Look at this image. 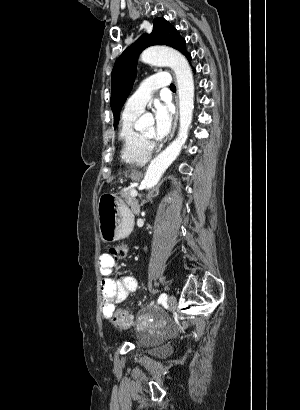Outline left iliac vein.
Wrapping results in <instances>:
<instances>
[{"label":"left iliac vein","instance_id":"left-iliac-vein-1","mask_svg":"<svg viewBox=\"0 0 300 410\" xmlns=\"http://www.w3.org/2000/svg\"><path fill=\"white\" fill-rule=\"evenodd\" d=\"M176 304H177L176 297L174 295L169 296L168 299H167V305L170 308H175Z\"/></svg>","mask_w":300,"mask_h":410}]
</instances>
